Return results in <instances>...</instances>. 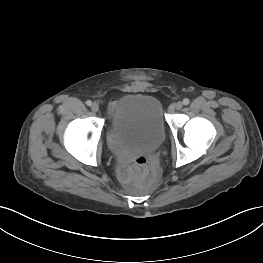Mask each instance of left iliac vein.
I'll return each instance as SVG.
<instances>
[{
  "mask_svg": "<svg viewBox=\"0 0 263 263\" xmlns=\"http://www.w3.org/2000/svg\"><path fill=\"white\" fill-rule=\"evenodd\" d=\"M182 107H183V103H182V102H177L176 105H175V108H176L177 110H181Z\"/></svg>",
  "mask_w": 263,
  "mask_h": 263,
  "instance_id": "left-iliac-vein-1",
  "label": "left iliac vein"
}]
</instances>
